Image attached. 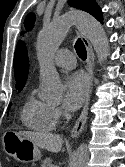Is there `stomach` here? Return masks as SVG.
<instances>
[{
    "label": "stomach",
    "instance_id": "0dacf381",
    "mask_svg": "<svg viewBox=\"0 0 125 167\" xmlns=\"http://www.w3.org/2000/svg\"><path fill=\"white\" fill-rule=\"evenodd\" d=\"M5 136L8 139L6 142L4 141V149L8 155L17 161L35 162L41 159L39 148L31 140L14 132H7Z\"/></svg>",
    "mask_w": 125,
    "mask_h": 167
}]
</instances>
